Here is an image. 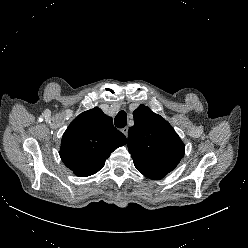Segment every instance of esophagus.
<instances>
[{"label":"esophagus","mask_w":248,"mask_h":248,"mask_svg":"<svg viewBox=\"0 0 248 248\" xmlns=\"http://www.w3.org/2000/svg\"><path fill=\"white\" fill-rule=\"evenodd\" d=\"M121 131L126 137L128 136V127L122 128Z\"/></svg>","instance_id":"34e87169"}]
</instances>
